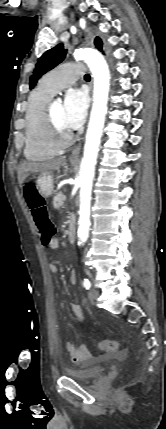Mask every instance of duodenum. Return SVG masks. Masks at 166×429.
I'll use <instances>...</instances> for the list:
<instances>
[{
    "label": "duodenum",
    "instance_id": "1",
    "mask_svg": "<svg viewBox=\"0 0 166 429\" xmlns=\"http://www.w3.org/2000/svg\"><path fill=\"white\" fill-rule=\"evenodd\" d=\"M76 236V218L74 216L69 217L67 237L70 243H73Z\"/></svg>",
    "mask_w": 166,
    "mask_h": 429
}]
</instances>
